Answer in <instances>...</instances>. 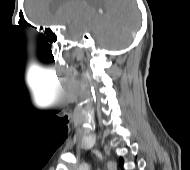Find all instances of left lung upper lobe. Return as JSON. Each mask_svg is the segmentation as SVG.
I'll list each match as a JSON object with an SVG mask.
<instances>
[{"instance_id": "left-lung-upper-lobe-1", "label": "left lung upper lobe", "mask_w": 190, "mask_h": 170, "mask_svg": "<svg viewBox=\"0 0 190 170\" xmlns=\"http://www.w3.org/2000/svg\"><path fill=\"white\" fill-rule=\"evenodd\" d=\"M122 164H123V159L121 158V159H120V165H122Z\"/></svg>"}]
</instances>
